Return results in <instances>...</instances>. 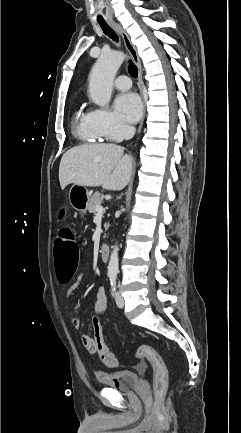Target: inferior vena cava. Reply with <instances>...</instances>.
Segmentation results:
<instances>
[{
    "mask_svg": "<svg viewBox=\"0 0 241 433\" xmlns=\"http://www.w3.org/2000/svg\"><path fill=\"white\" fill-rule=\"evenodd\" d=\"M135 127L131 125L124 126L123 133L126 140L131 139L135 135Z\"/></svg>",
    "mask_w": 241,
    "mask_h": 433,
    "instance_id": "602c4592",
    "label": "inferior vena cava"
}]
</instances>
